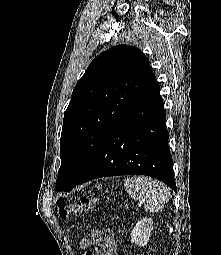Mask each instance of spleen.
<instances>
[{"label": "spleen", "mask_w": 221, "mask_h": 255, "mask_svg": "<svg viewBox=\"0 0 221 255\" xmlns=\"http://www.w3.org/2000/svg\"><path fill=\"white\" fill-rule=\"evenodd\" d=\"M124 187L129 196L142 201L145 210L151 213L160 210L170 199L169 189L152 178L129 177L124 180Z\"/></svg>", "instance_id": "3e777b00"}]
</instances>
